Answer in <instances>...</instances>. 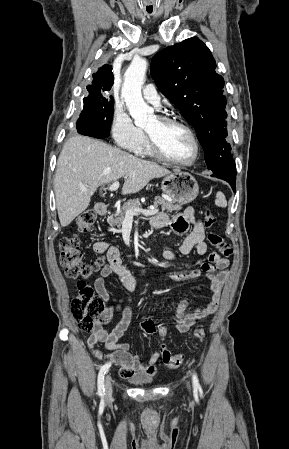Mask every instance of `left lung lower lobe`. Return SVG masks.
<instances>
[{"instance_id": "1", "label": "left lung lower lobe", "mask_w": 289, "mask_h": 449, "mask_svg": "<svg viewBox=\"0 0 289 449\" xmlns=\"http://www.w3.org/2000/svg\"><path fill=\"white\" fill-rule=\"evenodd\" d=\"M220 179H223V180L227 181L231 185L233 191H235L236 178H220Z\"/></svg>"}]
</instances>
